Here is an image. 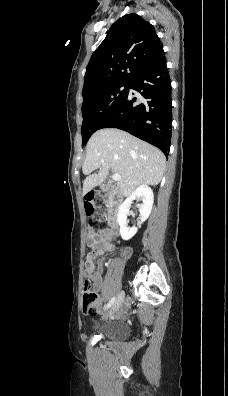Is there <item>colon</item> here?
I'll use <instances>...</instances> for the list:
<instances>
[{"instance_id":"colon-1","label":"colon","mask_w":228,"mask_h":396,"mask_svg":"<svg viewBox=\"0 0 228 396\" xmlns=\"http://www.w3.org/2000/svg\"><path fill=\"white\" fill-rule=\"evenodd\" d=\"M104 203L105 197L102 194L90 192L86 195L84 208L88 216L87 235L88 239L92 241H96L97 234L105 228L104 220L95 216V209L102 207ZM82 309L87 315H97L101 312L98 296L93 289V282L90 280L84 283Z\"/></svg>"}]
</instances>
